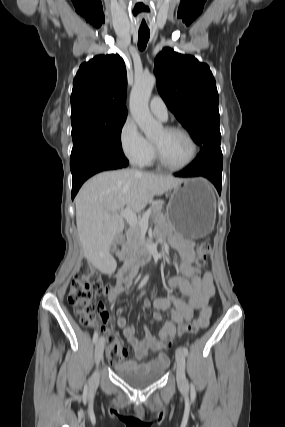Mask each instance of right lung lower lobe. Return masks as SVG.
Listing matches in <instances>:
<instances>
[{
    "mask_svg": "<svg viewBox=\"0 0 285 427\" xmlns=\"http://www.w3.org/2000/svg\"><path fill=\"white\" fill-rule=\"evenodd\" d=\"M129 164L125 156H117L102 151H93L86 154L71 168L72 199L85 180L92 175L105 171L126 167Z\"/></svg>",
    "mask_w": 285,
    "mask_h": 427,
    "instance_id": "right-lung-lower-lobe-1",
    "label": "right lung lower lobe"
}]
</instances>
